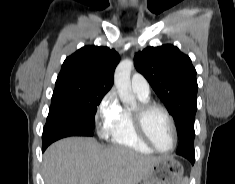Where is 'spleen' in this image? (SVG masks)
Segmentation results:
<instances>
[{"mask_svg": "<svg viewBox=\"0 0 235 184\" xmlns=\"http://www.w3.org/2000/svg\"><path fill=\"white\" fill-rule=\"evenodd\" d=\"M183 184H189V180H188V178H184V180H183Z\"/></svg>", "mask_w": 235, "mask_h": 184, "instance_id": "3e777b00", "label": "spleen"}]
</instances>
